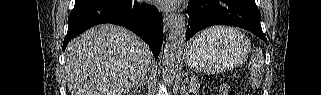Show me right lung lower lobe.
Segmentation results:
<instances>
[{
	"label": "right lung lower lobe",
	"instance_id": "right-lung-lower-lobe-1",
	"mask_svg": "<svg viewBox=\"0 0 321 95\" xmlns=\"http://www.w3.org/2000/svg\"><path fill=\"white\" fill-rule=\"evenodd\" d=\"M162 14L153 6L136 0H100L75 4L68 17V32L63 42H68L92 26L112 23L124 26L141 37L157 59L162 42Z\"/></svg>",
	"mask_w": 321,
	"mask_h": 95
}]
</instances>
